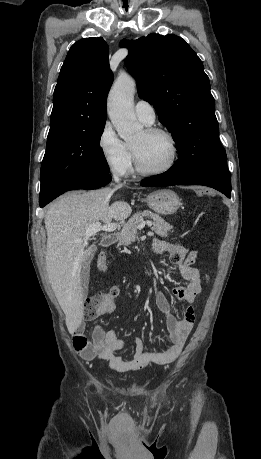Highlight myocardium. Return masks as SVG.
<instances>
[{"mask_svg":"<svg viewBox=\"0 0 261 459\" xmlns=\"http://www.w3.org/2000/svg\"><path fill=\"white\" fill-rule=\"evenodd\" d=\"M144 131L150 135L160 134V135L165 136L169 140L170 145H171V157H170L169 162L162 168L146 169L141 165L135 149L131 146V151H132L136 171L139 174L144 175V176H156V175H161V174H164L170 171L174 167L178 159V144H177L176 138L170 131L164 128H160V127H147Z\"/></svg>","mask_w":261,"mask_h":459,"instance_id":"f54148a6","label":"myocardium"}]
</instances>
